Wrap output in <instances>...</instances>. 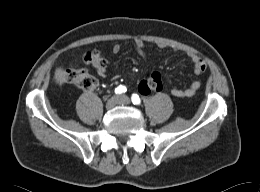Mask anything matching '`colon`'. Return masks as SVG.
I'll use <instances>...</instances> for the list:
<instances>
[{"mask_svg": "<svg viewBox=\"0 0 260 192\" xmlns=\"http://www.w3.org/2000/svg\"><path fill=\"white\" fill-rule=\"evenodd\" d=\"M83 60L86 64L95 66H106V60L99 54L98 51H89L85 53ZM65 80L74 84L77 88L89 91L95 88L96 79L86 69H67L65 71ZM146 84L148 85L147 94L151 92H158L162 89L161 75L157 72H153L146 78Z\"/></svg>", "mask_w": 260, "mask_h": 192, "instance_id": "5ec220e1", "label": "colon"}]
</instances>
